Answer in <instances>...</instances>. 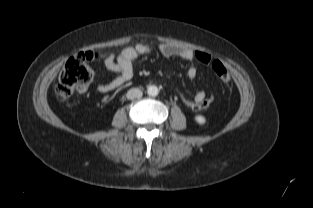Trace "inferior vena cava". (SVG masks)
Listing matches in <instances>:
<instances>
[{"mask_svg": "<svg viewBox=\"0 0 313 208\" xmlns=\"http://www.w3.org/2000/svg\"><path fill=\"white\" fill-rule=\"evenodd\" d=\"M143 95L142 91L138 88H132L130 90H128L126 97L129 100H133V99H139L141 98Z\"/></svg>", "mask_w": 313, "mask_h": 208, "instance_id": "inferior-vena-cava-1", "label": "inferior vena cava"}]
</instances>
